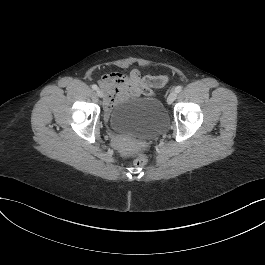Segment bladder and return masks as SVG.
I'll use <instances>...</instances> for the list:
<instances>
[{
  "label": "bladder",
  "instance_id": "31cf9c89",
  "mask_svg": "<svg viewBox=\"0 0 265 265\" xmlns=\"http://www.w3.org/2000/svg\"><path fill=\"white\" fill-rule=\"evenodd\" d=\"M167 113L157 97L135 98L118 104L111 114V128L121 134L147 138L161 132Z\"/></svg>",
  "mask_w": 265,
  "mask_h": 265
}]
</instances>
